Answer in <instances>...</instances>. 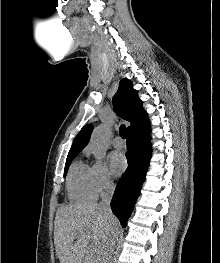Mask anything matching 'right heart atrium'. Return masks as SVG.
<instances>
[{"label": "right heart atrium", "mask_w": 220, "mask_h": 263, "mask_svg": "<svg viewBox=\"0 0 220 263\" xmlns=\"http://www.w3.org/2000/svg\"><path fill=\"white\" fill-rule=\"evenodd\" d=\"M95 189L98 194H104L113 188V177L105 163L95 162L91 166Z\"/></svg>", "instance_id": "1"}]
</instances>
